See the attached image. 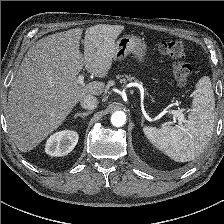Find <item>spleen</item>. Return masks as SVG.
Returning <instances> with one entry per match:
<instances>
[{
    "mask_svg": "<svg viewBox=\"0 0 224 224\" xmlns=\"http://www.w3.org/2000/svg\"><path fill=\"white\" fill-rule=\"evenodd\" d=\"M195 87L185 124L143 128L149 141L177 162H188L199 156L213 134L215 97L210 78L201 77Z\"/></svg>",
    "mask_w": 224,
    "mask_h": 224,
    "instance_id": "obj_1",
    "label": "spleen"
}]
</instances>
